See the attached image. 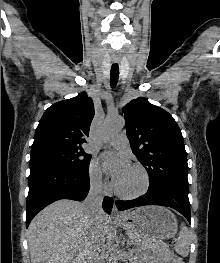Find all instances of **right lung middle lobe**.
Here are the masks:
<instances>
[{"mask_svg":"<svg viewBox=\"0 0 220 263\" xmlns=\"http://www.w3.org/2000/svg\"><path fill=\"white\" fill-rule=\"evenodd\" d=\"M90 159L82 147L45 149L30 155V161H49L75 170H87Z\"/></svg>","mask_w":220,"mask_h":263,"instance_id":"obj_1","label":"right lung middle lobe"}]
</instances>
